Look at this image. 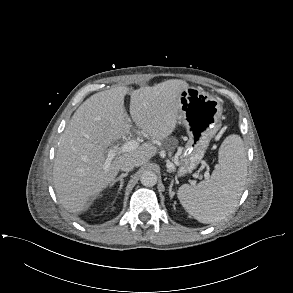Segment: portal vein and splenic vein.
<instances>
[{
    "label": "portal vein and splenic vein",
    "mask_w": 293,
    "mask_h": 293,
    "mask_svg": "<svg viewBox=\"0 0 293 293\" xmlns=\"http://www.w3.org/2000/svg\"><path fill=\"white\" fill-rule=\"evenodd\" d=\"M138 146H139V143L136 140L130 139V140L126 141L124 144H122V146L109 150L105 164H104V169L106 170L109 167L111 161L113 160V158L116 155H119L124 152H130L132 150H135ZM204 177H205V179H209V172L208 171L205 172Z\"/></svg>",
    "instance_id": "1"
}]
</instances>
